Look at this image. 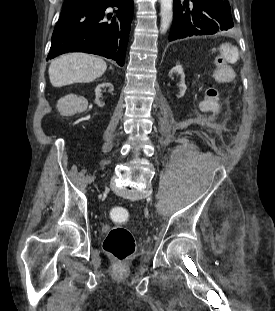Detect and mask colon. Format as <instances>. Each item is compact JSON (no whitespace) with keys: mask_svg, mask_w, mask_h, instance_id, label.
Here are the masks:
<instances>
[{"mask_svg":"<svg viewBox=\"0 0 275 311\" xmlns=\"http://www.w3.org/2000/svg\"><path fill=\"white\" fill-rule=\"evenodd\" d=\"M109 214L117 222H126L130 218L127 210L121 207L112 208ZM103 248L114 258L118 266H122L134 254L136 244L132 232L125 226L117 224L106 234Z\"/></svg>","mask_w":275,"mask_h":311,"instance_id":"colon-1","label":"colon"}]
</instances>
